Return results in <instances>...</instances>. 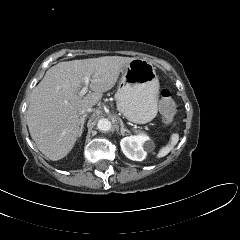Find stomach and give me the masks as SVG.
Listing matches in <instances>:
<instances>
[{"label": "stomach", "instance_id": "stomach-1", "mask_svg": "<svg viewBox=\"0 0 240 240\" xmlns=\"http://www.w3.org/2000/svg\"><path fill=\"white\" fill-rule=\"evenodd\" d=\"M159 80L153 65L135 58L121 71L115 99L118 110L129 121L145 124L158 112Z\"/></svg>", "mask_w": 240, "mask_h": 240}]
</instances>
